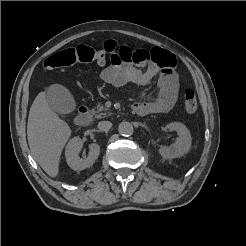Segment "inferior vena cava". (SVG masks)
<instances>
[{
  "instance_id": "602c4592",
  "label": "inferior vena cava",
  "mask_w": 246,
  "mask_h": 246,
  "mask_svg": "<svg viewBox=\"0 0 246 246\" xmlns=\"http://www.w3.org/2000/svg\"><path fill=\"white\" fill-rule=\"evenodd\" d=\"M112 127V123L110 121H101L98 123V129L103 132H108Z\"/></svg>"
}]
</instances>
